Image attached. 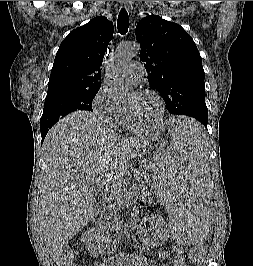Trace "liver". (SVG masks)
<instances>
[{
  "instance_id": "6515ba94",
  "label": "liver",
  "mask_w": 253,
  "mask_h": 266,
  "mask_svg": "<svg viewBox=\"0 0 253 266\" xmlns=\"http://www.w3.org/2000/svg\"><path fill=\"white\" fill-rule=\"evenodd\" d=\"M151 139L121 137L84 111L69 114L49 130L43 143L46 170L38 221L54 262H62L69 240L93 218L91 179L122 182L130 160Z\"/></svg>"
}]
</instances>
